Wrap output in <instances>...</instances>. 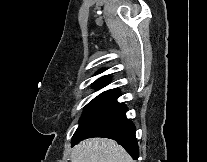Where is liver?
Returning <instances> with one entry per match:
<instances>
[{"label":"liver","instance_id":"6515ba94","mask_svg":"<svg viewBox=\"0 0 207 162\" xmlns=\"http://www.w3.org/2000/svg\"><path fill=\"white\" fill-rule=\"evenodd\" d=\"M71 162H134L116 141L90 138L78 143L71 153Z\"/></svg>","mask_w":207,"mask_h":162}]
</instances>
